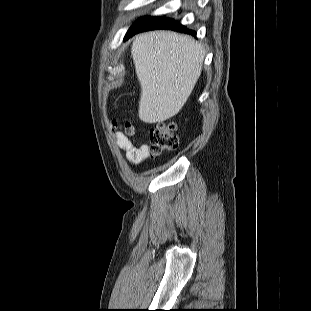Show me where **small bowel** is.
Masks as SVG:
<instances>
[{"instance_id": "c3829d8e", "label": "small bowel", "mask_w": 311, "mask_h": 311, "mask_svg": "<svg viewBox=\"0 0 311 311\" xmlns=\"http://www.w3.org/2000/svg\"><path fill=\"white\" fill-rule=\"evenodd\" d=\"M115 143L125 152L126 159L133 165L142 163L149 155V148L147 145H137L122 132H117L115 134Z\"/></svg>"}]
</instances>
